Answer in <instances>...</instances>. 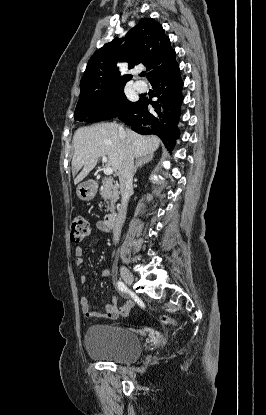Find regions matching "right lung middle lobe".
Masks as SVG:
<instances>
[{"instance_id":"dd1d6c3e","label":"right lung middle lobe","mask_w":266,"mask_h":415,"mask_svg":"<svg viewBox=\"0 0 266 415\" xmlns=\"http://www.w3.org/2000/svg\"><path fill=\"white\" fill-rule=\"evenodd\" d=\"M135 103L126 99L124 86L79 98L75 120L96 122L109 120L122 114Z\"/></svg>"}]
</instances>
